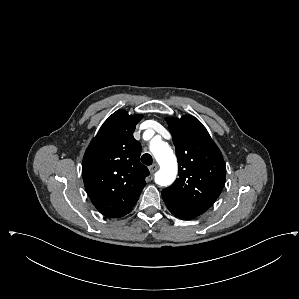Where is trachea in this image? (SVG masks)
<instances>
[{
  "instance_id": "1",
  "label": "trachea",
  "mask_w": 299,
  "mask_h": 299,
  "mask_svg": "<svg viewBox=\"0 0 299 299\" xmlns=\"http://www.w3.org/2000/svg\"><path fill=\"white\" fill-rule=\"evenodd\" d=\"M141 162L145 165H151L153 163L152 156L148 153H145L141 157Z\"/></svg>"
}]
</instances>
